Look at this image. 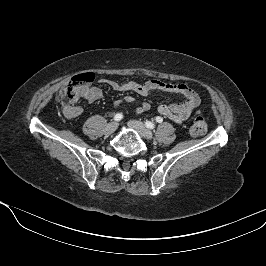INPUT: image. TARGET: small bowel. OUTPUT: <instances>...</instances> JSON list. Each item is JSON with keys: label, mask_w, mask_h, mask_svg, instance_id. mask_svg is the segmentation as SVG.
<instances>
[{"label": "small bowel", "mask_w": 266, "mask_h": 266, "mask_svg": "<svg viewBox=\"0 0 266 266\" xmlns=\"http://www.w3.org/2000/svg\"><path fill=\"white\" fill-rule=\"evenodd\" d=\"M99 83L106 85L111 89L118 92H134L142 96H150L155 92H166L175 94L182 98V101L174 104H161L158 107V112L170 119L171 121L180 124L186 121L194 111V109L200 104V97L189 86L185 84H172L166 83L160 80H149L144 83H138L135 81L116 82L109 79H100ZM83 98L93 103L103 96V91L98 86H87L82 90ZM134 98L132 96H124L122 99L114 102V106L118 107L123 103H133ZM150 109V104L142 102L136 107V113L142 114ZM82 113V108L76 106L72 111H65V115L69 118H74Z\"/></svg>", "instance_id": "small-bowel-1"}]
</instances>
